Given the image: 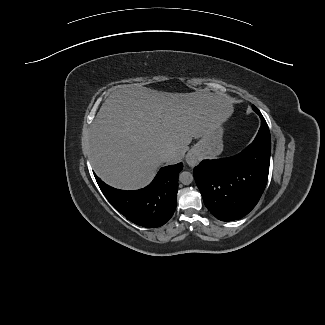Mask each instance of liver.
Returning a JSON list of instances; mask_svg holds the SVG:
<instances>
[{"label":"liver","instance_id":"1","mask_svg":"<svg viewBox=\"0 0 325 325\" xmlns=\"http://www.w3.org/2000/svg\"><path fill=\"white\" fill-rule=\"evenodd\" d=\"M232 112L230 99L210 92L170 93L123 85L109 94L91 124L92 167L110 186L142 188L164 163L163 151L173 153L168 163L181 161L193 137L219 127Z\"/></svg>","mask_w":325,"mask_h":325}]
</instances>
